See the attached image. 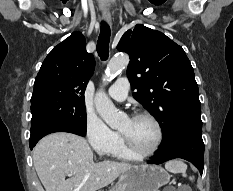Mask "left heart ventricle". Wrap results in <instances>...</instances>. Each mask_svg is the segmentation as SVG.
I'll return each mask as SVG.
<instances>
[{
	"mask_svg": "<svg viewBox=\"0 0 233 191\" xmlns=\"http://www.w3.org/2000/svg\"><path fill=\"white\" fill-rule=\"evenodd\" d=\"M141 151H150L157 140V130L147 119H126L119 128Z\"/></svg>",
	"mask_w": 233,
	"mask_h": 191,
	"instance_id": "b2bd125f",
	"label": "left heart ventricle"
}]
</instances>
